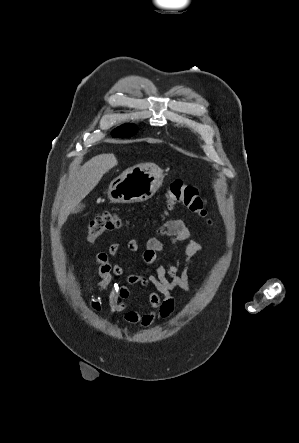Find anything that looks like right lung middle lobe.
<instances>
[{
    "instance_id": "dd1d6c3e",
    "label": "right lung middle lobe",
    "mask_w": 299,
    "mask_h": 443,
    "mask_svg": "<svg viewBox=\"0 0 299 443\" xmlns=\"http://www.w3.org/2000/svg\"><path fill=\"white\" fill-rule=\"evenodd\" d=\"M135 133H136V127L134 125L125 124V125H122V126L116 128L112 132V135L114 137H118V138H125V137H130V136L134 135Z\"/></svg>"
}]
</instances>
